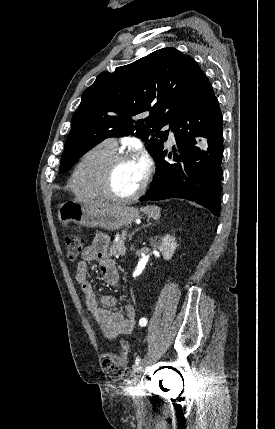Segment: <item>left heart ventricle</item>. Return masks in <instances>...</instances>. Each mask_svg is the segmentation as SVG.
Wrapping results in <instances>:
<instances>
[{
  "mask_svg": "<svg viewBox=\"0 0 275 429\" xmlns=\"http://www.w3.org/2000/svg\"><path fill=\"white\" fill-rule=\"evenodd\" d=\"M144 177L136 159L119 163L112 176L111 187L115 194L128 196L141 185Z\"/></svg>",
  "mask_w": 275,
  "mask_h": 429,
  "instance_id": "obj_1",
  "label": "left heart ventricle"
}]
</instances>
